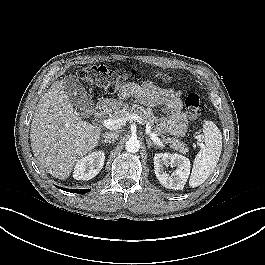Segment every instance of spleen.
Listing matches in <instances>:
<instances>
[{
    "mask_svg": "<svg viewBox=\"0 0 265 265\" xmlns=\"http://www.w3.org/2000/svg\"><path fill=\"white\" fill-rule=\"evenodd\" d=\"M205 144L195 157L189 186L194 188L203 184L213 173L219 161L222 150V134L212 122L206 121L203 125Z\"/></svg>",
    "mask_w": 265,
    "mask_h": 265,
    "instance_id": "1",
    "label": "spleen"
}]
</instances>
